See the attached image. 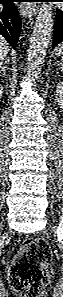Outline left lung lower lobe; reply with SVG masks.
<instances>
[{"label": "left lung lower lobe", "instance_id": "1", "mask_svg": "<svg viewBox=\"0 0 63 297\" xmlns=\"http://www.w3.org/2000/svg\"><path fill=\"white\" fill-rule=\"evenodd\" d=\"M63 2V0H59ZM63 42V7L57 9L56 20L54 25L53 46Z\"/></svg>", "mask_w": 63, "mask_h": 297}]
</instances>
